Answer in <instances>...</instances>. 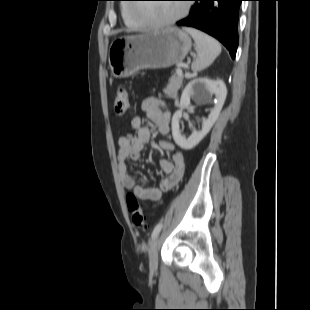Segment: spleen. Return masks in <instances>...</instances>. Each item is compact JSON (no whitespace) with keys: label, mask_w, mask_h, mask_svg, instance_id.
<instances>
[{"label":"spleen","mask_w":310,"mask_h":310,"mask_svg":"<svg viewBox=\"0 0 310 310\" xmlns=\"http://www.w3.org/2000/svg\"><path fill=\"white\" fill-rule=\"evenodd\" d=\"M184 30L193 37L198 53V58L192 63V69L194 71H201L209 67L221 53L219 42L197 29L186 27Z\"/></svg>","instance_id":"spleen-1"}]
</instances>
